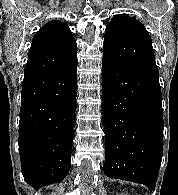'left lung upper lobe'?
<instances>
[{
  "label": "left lung upper lobe",
  "instance_id": "obj_1",
  "mask_svg": "<svg viewBox=\"0 0 178 195\" xmlns=\"http://www.w3.org/2000/svg\"><path fill=\"white\" fill-rule=\"evenodd\" d=\"M103 56L159 78L151 37L145 27L127 14H119L105 30Z\"/></svg>",
  "mask_w": 178,
  "mask_h": 195
}]
</instances>
